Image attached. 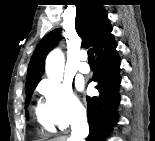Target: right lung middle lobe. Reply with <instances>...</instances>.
Instances as JSON below:
<instances>
[{
  "label": "right lung middle lobe",
  "instance_id": "obj_1",
  "mask_svg": "<svg viewBox=\"0 0 155 141\" xmlns=\"http://www.w3.org/2000/svg\"><path fill=\"white\" fill-rule=\"evenodd\" d=\"M36 85H37V83L26 87V102H25V106H26V107L28 106V104H29V102H30L32 93H33V91H34ZM26 116H28L27 113H26Z\"/></svg>",
  "mask_w": 155,
  "mask_h": 141
}]
</instances>
